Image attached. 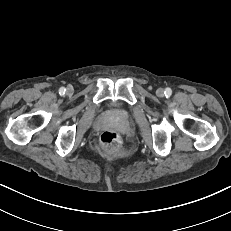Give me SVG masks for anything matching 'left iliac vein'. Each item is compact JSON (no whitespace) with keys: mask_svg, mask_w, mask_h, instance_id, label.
<instances>
[{"mask_svg":"<svg viewBox=\"0 0 231 231\" xmlns=\"http://www.w3.org/2000/svg\"><path fill=\"white\" fill-rule=\"evenodd\" d=\"M156 94H157V96H159V97H163V96H164V89H163V88H158V89L156 90Z\"/></svg>","mask_w":231,"mask_h":231,"instance_id":"left-iliac-vein-1","label":"left iliac vein"}]
</instances>
